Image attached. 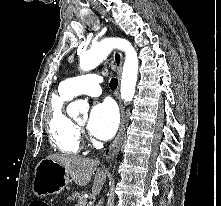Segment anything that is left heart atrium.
<instances>
[{
    "instance_id": "left-heart-atrium-1",
    "label": "left heart atrium",
    "mask_w": 221,
    "mask_h": 206,
    "mask_svg": "<svg viewBox=\"0 0 221 206\" xmlns=\"http://www.w3.org/2000/svg\"><path fill=\"white\" fill-rule=\"evenodd\" d=\"M119 125V113L114 103L104 101L94 105L90 111L87 128L102 140L111 138Z\"/></svg>"
}]
</instances>
